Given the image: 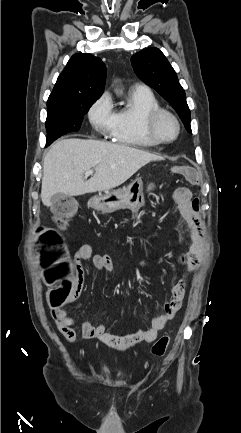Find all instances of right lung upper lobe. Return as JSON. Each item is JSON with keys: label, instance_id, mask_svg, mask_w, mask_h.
<instances>
[{"label": "right lung upper lobe", "instance_id": "obj_1", "mask_svg": "<svg viewBox=\"0 0 241 433\" xmlns=\"http://www.w3.org/2000/svg\"><path fill=\"white\" fill-rule=\"evenodd\" d=\"M106 67L90 54H74L59 75L47 102L98 99L103 93Z\"/></svg>", "mask_w": 241, "mask_h": 433}]
</instances>
